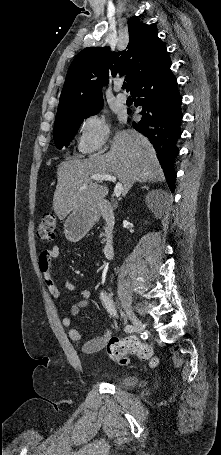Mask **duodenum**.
<instances>
[{"mask_svg": "<svg viewBox=\"0 0 221 455\" xmlns=\"http://www.w3.org/2000/svg\"><path fill=\"white\" fill-rule=\"evenodd\" d=\"M97 212L99 216L105 220L108 229H111L115 223V215L111 204L109 203L101 204L97 208ZM103 255L108 260L111 259L114 255V243L110 238L107 239L104 245Z\"/></svg>", "mask_w": 221, "mask_h": 455, "instance_id": "duodenum-1", "label": "duodenum"}]
</instances>
